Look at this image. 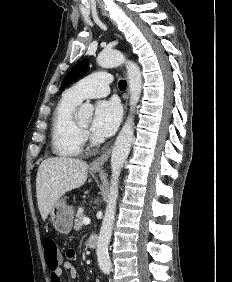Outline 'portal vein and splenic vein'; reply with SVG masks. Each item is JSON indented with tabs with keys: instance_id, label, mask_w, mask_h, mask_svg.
I'll list each match as a JSON object with an SVG mask.
<instances>
[{
	"instance_id": "1",
	"label": "portal vein and splenic vein",
	"mask_w": 232,
	"mask_h": 282,
	"mask_svg": "<svg viewBox=\"0 0 232 282\" xmlns=\"http://www.w3.org/2000/svg\"><path fill=\"white\" fill-rule=\"evenodd\" d=\"M83 224H84V225L90 224V219H89L88 217H84V218H83Z\"/></svg>"
}]
</instances>
